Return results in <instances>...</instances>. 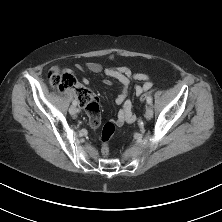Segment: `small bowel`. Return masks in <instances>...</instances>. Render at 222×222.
Wrapping results in <instances>:
<instances>
[{"label":"small bowel","mask_w":222,"mask_h":222,"mask_svg":"<svg viewBox=\"0 0 222 222\" xmlns=\"http://www.w3.org/2000/svg\"><path fill=\"white\" fill-rule=\"evenodd\" d=\"M113 57L110 56L109 59ZM77 68L82 70L86 69L91 73H104L108 78L115 79L121 84V91L115 99L116 104L121 105V108L117 114L114 124L117 126H123L124 124H130L135 122L136 116L132 110V102L128 98V91L133 80L140 82V85L135 87V94L141 96L142 94L149 91L152 87V82L150 77L145 73H132L128 67H119V68H106L99 62H88L84 66L77 65ZM110 79H105L103 82L106 85L111 84ZM84 85L89 84V79L84 77L82 79ZM90 117V126L92 128H97L100 125L101 117L98 112L89 113Z\"/></svg>","instance_id":"obj_1"}]
</instances>
